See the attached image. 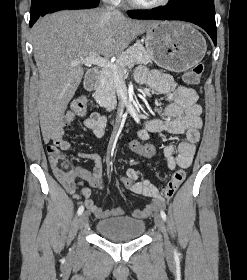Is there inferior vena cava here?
Here are the masks:
<instances>
[{"instance_id":"602c4592","label":"inferior vena cava","mask_w":247,"mask_h":280,"mask_svg":"<svg viewBox=\"0 0 247 280\" xmlns=\"http://www.w3.org/2000/svg\"><path fill=\"white\" fill-rule=\"evenodd\" d=\"M108 12L117 14V15H121V13L117 10H115L113 7H107Z\"/></svg>"}]
</instances>
